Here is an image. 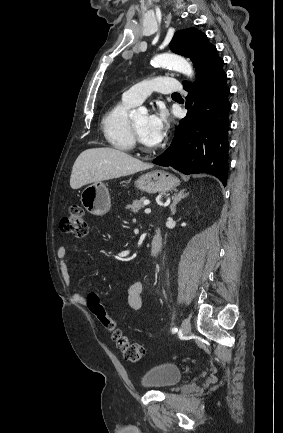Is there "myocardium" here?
Segmentation results:
<instances>
[{
    "mask_svg": "<svg viewBox=\"0 0 283 433\" xmlns=\"http://www.w3.org/2000/svg\"><path fill=\"white\" fill-rule=\"evenodd\" d=\"M131 128H132V133H133L134 141H136L137 144L141 145V137H140V135H139V133H138V131L136 129V126H135L134 122H132ZM139 149H142V148L139 146Z\"/></svg>",
    "mask_w": 283,
    "mask_h": 433,
    "instance_id": "f54148a6",
    "label": "myocardium"
}]
</instances>
